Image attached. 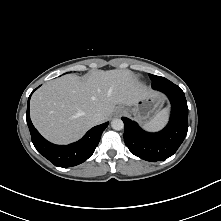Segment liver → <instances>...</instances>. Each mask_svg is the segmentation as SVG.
Instances as JSON below:
<instances>
[{
    "label": "liver",
    "mask_w": 221,
    "mask_h": 221,
    "mask_svg": "<svg viewBox=\"0 0 221 221\" xmlns=\"http://www.w3.org/2000/svg\"><path fill=\"white\" fill-rule=\"evenodd\" d=\"M151 94L129 70H94L84 77L69 74L45 83L33 94L30 116L46 139L67 144L98 124L95 113H102L105 122L116 105L132 107Z\"/></svg>",
    "instance_id": "liver-1"
}]
</instances>
